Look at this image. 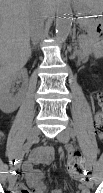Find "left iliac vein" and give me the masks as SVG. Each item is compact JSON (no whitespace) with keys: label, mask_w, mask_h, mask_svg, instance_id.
<instances>
[{"label":"left iliac vein","mask_w":103,"mask_h":193,"mask_svg":"<svg viewBox=\"0 0 103 193\" xmlns=\"http://www.w3.org/2000/svg\"><path fill=\"white\" fill-rule=\"evenodd\" d=\"M57 139H58L61 143L67 144L68 141H69L68 129L60 132V133L57 135ZM88 186H89V187H92V186H93V182H92L91 180L88 182Z\"/></svg>","instance_id":"left-iliac-vein-1"}]
</instances>
